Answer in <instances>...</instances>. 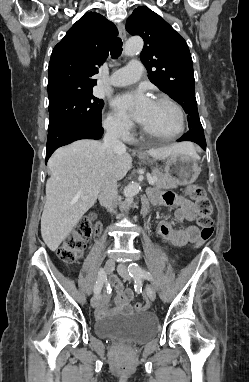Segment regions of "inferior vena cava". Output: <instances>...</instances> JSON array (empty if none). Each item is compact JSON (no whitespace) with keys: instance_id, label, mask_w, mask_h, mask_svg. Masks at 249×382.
<instances>
[{"instance_id":"obj_1","label":"inferior vena cava","mask_w":249,"mask_h":382,"mask_svg":"<svg viewBox=\"0 0 249 382\" xmlns=\"http://www.w3.org/2000/svg\"><path fill=\"white\" fill-rule=\"evenodd\" d=\"M103 146L108 152L114 151H125L126 146L119 139V129L117 125H111L103 138ZM118 198L117 192V180L108 173L104 178V181L100 187L98 199L102 206H104L108 211L112 212L113 203Z\"/></svg>"}]
</instances>
